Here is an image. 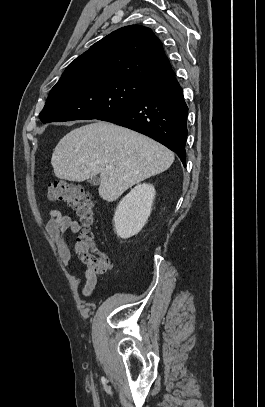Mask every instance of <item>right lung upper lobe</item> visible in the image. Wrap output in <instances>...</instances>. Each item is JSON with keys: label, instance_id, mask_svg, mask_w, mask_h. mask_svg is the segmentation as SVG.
Returning a JSON list of instances; mask_svg holds the SVG:
<instances>
[{"label": "right lung upper lobe", "instance_id": "1", "mask_svg": "<svg viewBox=\"0 0 265 407\" xmlns=\"http://www.w3.org/2000/svg\"><path fill=\"white\" fill-rule=\"evenodd\" d=\"M93 74L129 79L153 87L174 73L162 43L151 29L131 25L92 45L67 66L59 81Z\"/></svg>", "mask_w": 265, "mask_h": 407}]
</instances>
